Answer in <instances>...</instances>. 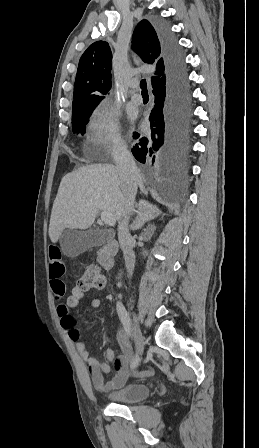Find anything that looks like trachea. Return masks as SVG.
Here are the masks:
<instances>
[{
	"mask_svg": "<svg viewBox=\"0 0 259 448\" xmlns=\"http://www.w3.org/2000/svg\"><path fill=\"white\" fill-rule=\"evenodd\" d=\"M140 88H141V94L142 95H148V90H147V84H146V79L143 78V80L140 81Z\"/></svg>",
	"mask_w": 259,
	"mask_h": 448,
	"instance_id": "trachea-1",
	"label": "trachea"
}]
</instances>
